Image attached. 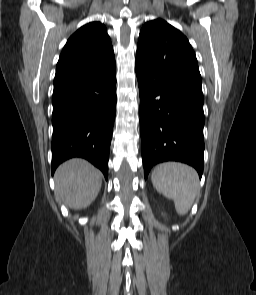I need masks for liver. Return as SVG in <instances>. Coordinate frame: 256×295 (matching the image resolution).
Here are the masks:
<instances>
[{
	"label": "liver",
	"instance_id": "liver-1",
	"mask_svg": "<svg viewBox=\"0 0 256 295\" xmlns=\"http://www.w3.org/2000/svg\"><path fill=\"white\" fill-rule=\"evenodd\" d=\"M102 179V173L86 160L70 159L55 172L56 199L75 210L86 208L97 197Z\"/></svg>",
	"mask_w": 256,
	"mask_h": 295
}]
</instances>
